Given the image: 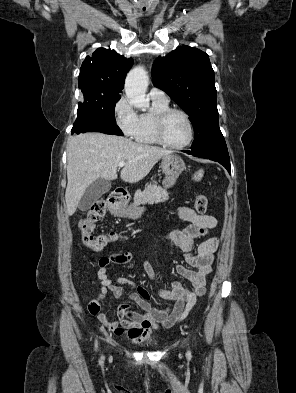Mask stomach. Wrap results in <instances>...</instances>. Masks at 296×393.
<instances>
[{"label": "stomach", "instance_id": "1", "mask_svg": "<svg viewBox=\"0 0 296 393\" xmlns=\"http://www.w3.org/2000/svg\"><path fill=\"white\" fill-rule=\"evenodd\" d=\"M161 168L165 175L162 184L165 188H170L175 184L176 180L185 170L186 166L181 157L170 154L162 158ZM143 212L144 207H139L136 205H132L129 207H127L126 205H121L117 210L118 216L131 219L139 218Z\"/></svg>", "mask_w": 296, "mask_h": 393}]
</instances>
